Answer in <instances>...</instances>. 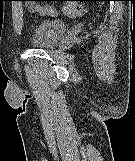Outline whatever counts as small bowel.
<instances>
[{
  "label": "small bowel",
  "instance_id": "obj_1",
  "mask_svg": "<svg viewBox=\"0 0 135 161\" xmlns=\"http://www.w3.org/2000/svg\"><path fill=\"white\" fill-rule=\"evenodd\" d=\"M43 12H51V13H53L55 10L53 9V8H49V7H47V8H45L44 10H42Z\"/></svg>",
  "mask_w": 135,
  "mask_h": 161
}]
</instances>
